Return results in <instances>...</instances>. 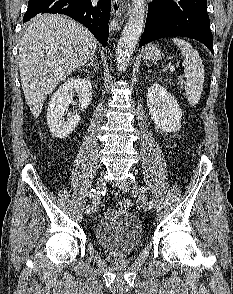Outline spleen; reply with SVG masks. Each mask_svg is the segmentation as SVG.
<instances>
[{
	"instance_id": "3e777b00",
	"label": "spleen",
	"mask_w": 233,
	"mask_h": 294,
	"mask_svg": "<svg viewBox=\"0 0 233 294\" xmlns=\"http://www.w3.org/2000/svg\"><path fill=\"white\" fill-rule=\"evenodd\" d=\"M182 55V65L184 67V75L186 77L185 96L191 106H196L200 100L203 83H204V67L199 53L192 45L180 38H173Z\"/></svg>"
}]
</instances>
